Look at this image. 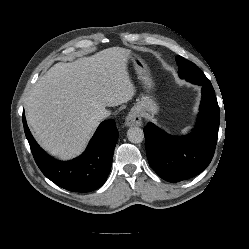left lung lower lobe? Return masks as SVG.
Returning a JSON list of instances; mask_svg holds the SVG:
<instances>
[{"label": "left lung lower lobe", "mask_w": 249, "mask_h": 249, "mask_svg": "<svg viewBox=\"0 0 249 249\" xmlns=\"http://www.w3.org/2000/svg\"><path fill=\"white\" fill-rule=\"evenodd\" d=\"M191 83L202 86V99L196 126L190 134L172 136L150 122L143 130L148 162L169 182L201 173L211 162L217 143L220 114L212 84L205 75Z\"/></svg>", "instance_id": "obj_1"}]
</instances>
